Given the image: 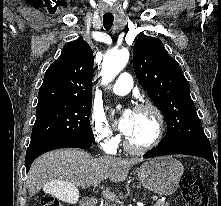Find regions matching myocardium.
I'll list each match as a JSON object with an SVG mask.
<instances>
[{
	"label": "myocardium",
	"mask_w": 221,
	"mask_h": 206,
	"mask_svg": "<svg viewBox=\"0 0 221 206\" xmlns=\"http://www.w3.org/2000/svg\"><path fill=\"white\" fill-rule=\"evenodd\" d=\"M143 110L149 111L154 116L156 128L153 138L148 143L141 146L133 145L132 143H130L127 137L124 140V148L128 152L138 155L144 154L158 145V143L162 139L164 133V125H165L163 114L161 110L154 103L150 101H144L139 103L135 107V111H143Z\"/></svg>",
	"instance_id": "myocardium-1"
}]
</instances>
